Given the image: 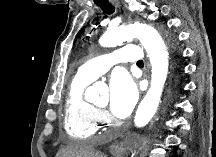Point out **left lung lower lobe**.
<instances>
[{
  "label": "left lung lower lobe",
  "mask_w": 216,
  "mask_h": 157,
  "mask_svg": "<svg viewBox=\"0 0 216 157\" xmlns=\"http://www.w3.org/2000/svg\"><path fill=\"white\" fill-rule=\"evenodd\" d=\"M173 54H174L175 58H179V53H177L176 51H174ZM177 70H178V82H177V83H178V86H180V83H179L180 77H179V76L181 75V71H182V70H181V67L179 66V67L177 68Z\"/></svg>",
  "instance_id": "0a47b994"
}]
</instances>
